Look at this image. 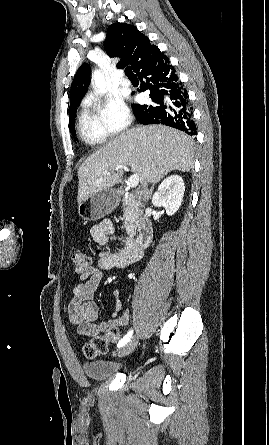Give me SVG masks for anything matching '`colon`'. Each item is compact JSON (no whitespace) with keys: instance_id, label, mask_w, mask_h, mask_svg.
Instances as JSON below:
<instances>
[{"instance_id":"colon-1","label":"colon","mask_w":269,"mask_h":445,"mask_svg":"<svg viewBox=\"0 0 269 445\" xmlns=\"http://www.w3.org/2000/svg\"><path fill=\"white\" fill-rule=\"evenodd\" d=\"M72 262L74 272L82 274L90 266L91 259L82 250H76L72 253ZM118 339L119 332L116 330H112L103 336H96L84 345V355L89 359H93L98 355L105 354L108 351V344Z\"/></svg>"}]
</instances>
